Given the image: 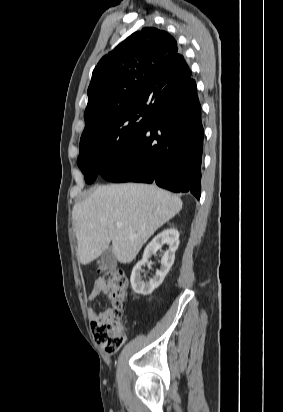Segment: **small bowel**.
I'll use <instances>...</instances> for the list:
<instances>
[{
  "instance_id": "obj_1",
  "label": "small bowel",
  "mask_w": 283,
  "mask_h": 412,
  "mask_svg": "<svg viewBox=\"0 0 283 412\" xmlns=\"http://www.w3.org/2000/svg\"><path fill=\"white\" fill-rule=\"evenodd\" d=\"M107 292H108V288H107L106 284L104 283V281L101 280V279H97V280L94 282V286H93L91 292H90L89 295H88V301H89V303L92 304L93 302H95V300H96L100 295H102V294H107ZM108 311H109V309H108V310H105V311H103V312H97L93 307H90V308L88 309V316H89L90 321H91V322H94V321H96L97 319L103 317Z\"/></svg>"
}]
</instances>
